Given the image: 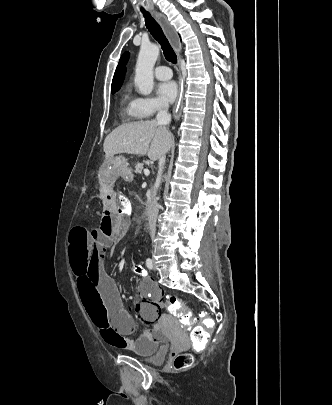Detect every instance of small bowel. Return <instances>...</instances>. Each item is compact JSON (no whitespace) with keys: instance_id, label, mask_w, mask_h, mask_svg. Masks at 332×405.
<instances>
[{"instance_id":"obj_1","label":"small bowel","mask_w":332,"mask_h":405,"mask_svg":"<svg viewBox=\"0 0 332 405\" xmlns=\"http://www.w3.org/2000/svg\"><path fill=\"white\" fill-rule=\"evenodd\" d=\"M115 159H106L100 165L102 184V218L99 228L74 226L68 238L70 268L76 278V295L84 305L91 325L96 326L101 338L109 345L126 350L149 353L158 344H166L167 337L160 332L163 289L147 277L138 285L139 299L134 310L144 321L153 323L137 339L127 336L135 330L133 317L124 308L114 280L104 270V252L118 243L129 230V221L118 219L115 207L118 170ZM146 271V270H144ZM140 275V273H138Z\"/></svg>"}]
</instances>
